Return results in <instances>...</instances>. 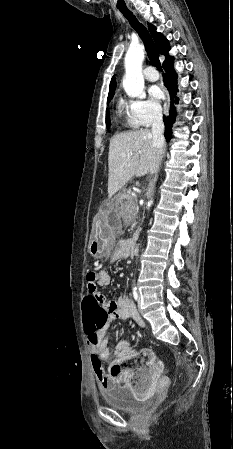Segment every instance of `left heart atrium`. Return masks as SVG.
I'll list each match as a JSON object with an SVG mask.
<instances>
[{"instance_id":"obj_1","label":"left heart atrium","mask_w":233,"mask_h":449,"mask_svg":"<svg viewBox=\"0 0 233 449\" xmlns=\"http://www.w3.org/2000/svg\"><path fill=\"white\" fill-rule=\"evenodd\" d=\"M149 94H150V96H151L153 99H155V100H160V99L162 98V91H161V89H160L158 86H156V85L151 86V87L149 88Z\"/></svg>"}]
</instances>
